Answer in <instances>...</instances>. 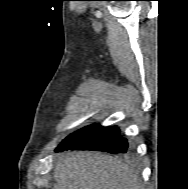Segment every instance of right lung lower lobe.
Instances as JSON below:
<instances>
[{
	"mask_svg": "<svg viewBox=\"0 0 188 189\" xmlns=\"http://www.w3.org/2000/svg\"><path fill=\"white\" fill-rule=\"evenodd\" d=\"M69 149L97 150L112 154L131 152L127 139L120 135L118 127H103L98 124L86 126L70 134L55 151Z\"/></svg>",
	"mask_w": 188,
	"mask_h": 189,
	"instance_id": "obj_1",
	"label": "right lung lower lobe"
}]
</instances>
